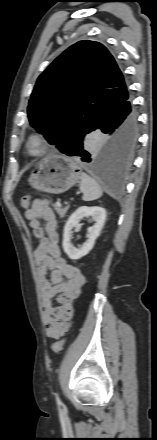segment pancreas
<instances>
[{
    "label": "pancreas",
    "mask_w": 157,
    "mask_h": 440,
    "mask_svg": "<svg viewBox=\"0 0 157 440\" xmlns=\"http://www.w3.org/2000/svg\"><path fill=\"white\" fill-rule=\"evenodd\" d=\"M54 209L56 210L59 217L63 218L65 216L66 212L68 211L69 207H61L60 205L55 204Z\"/></svg>",
    "instance_id": "obj_1"
}]
</instances>
